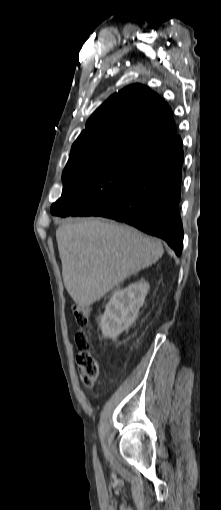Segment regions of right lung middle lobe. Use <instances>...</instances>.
I'll return each mask as SVG.
<instances>
[{
    "label": "right lung middle lobe",
    "mask_w": 221,
    "mask_h": 510,
    "mask_svg": "<svg viewBox=\"0 0 221 510\" xmlns=\"http://www.w3.org/2000/svg\"><path fill=\"white\" fill-rule=\"evenodd\" d=\"M150 152L130 146L69 160L52 215L67 216L78 207L88 211L108 206L125 192Z\"/></svg>",
    "instance_id": "dd1d6c3e"
}]
</instances>
